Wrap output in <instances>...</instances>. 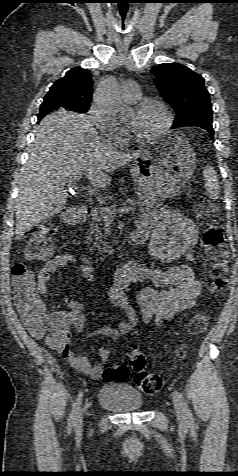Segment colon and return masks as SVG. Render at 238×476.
Here are the masks:
<instances>
[{
	"label": "colon",
	"mask_w": 238,
	"mask_h": 476,
	"mask_svg": "<svg viewBox=\"0 0 238 476\" xmlns=\"http://www.w3.org/2000/svg\"><path fill=\"white\" fill-rule=\"evenodd\" d=\"M196 218L204 228L201 246L211 264L207 279L210 293L217 294L228 287L227 262L229 248L223 230L220 227L222 215L208 200H201L196 206ZM56 229L53 226H42L36 230L24 249V258L28 261H46L53 254V243ZM14 301L18 312L31 333L37 337L45 333L46 308L37 292L32 272L21 263L12 268ZM208 317L205 313H196L190 319L188 328L192 334L206 331ZM65 331H51L47 341L56 347L65 337ZM130 368L135 373L134 382L139 390L146 394L159 391L162 386L161 378L147 370L145 353L136 345L127 347ZM128 367L125 365H108L103 372V378L108 381H125L128 378Z\"/></svg>",
	"instance_id": "colon-1"
}]
</instances>
